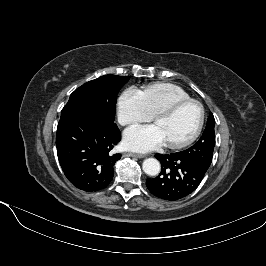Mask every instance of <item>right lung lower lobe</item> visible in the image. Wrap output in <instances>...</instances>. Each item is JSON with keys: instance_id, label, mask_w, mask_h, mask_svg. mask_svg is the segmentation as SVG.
<instances>
[{"instance_id": "1", "label": "right lung lower lobe", "mask_w": 266, "mask_h": 266, "mask_svg": "<svg viewBox=\"0 0 266 266\" xmlns=\"http://www.w3.org/2000/svg\"><path fill=\"white\" fill-rule=\"evenodd\" d=\"M121 140L117 125L96 119H60L56 134L57 155L67 179L78 189L96 192L113 179L121 154L113 147Z\"/></svg>"}]
</instances>
